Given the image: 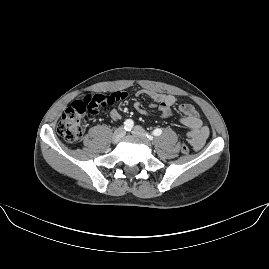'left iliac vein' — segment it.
I'll return each mask as SVG.
<instances>
[{
  "label": "left iliac vein",
  "instance_id": "4c4485c4",
  "mask_svg": "<svg viewBox=\"0 0 269 269\" xmlns=\"http://www.w3.org/2000/svg\"><path fill=\"white\" fill-rule=\"evenodd\" d=\"M132 133H133V135H135L137 137H140L143 139L147 138V134H146L145 130L140 126H135L132 130Z\"/></svg>",
  "mask_w": 269,
  "mask_h": 269
}]
</instances>
